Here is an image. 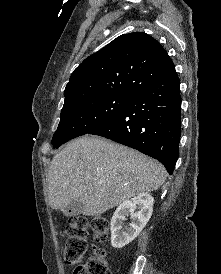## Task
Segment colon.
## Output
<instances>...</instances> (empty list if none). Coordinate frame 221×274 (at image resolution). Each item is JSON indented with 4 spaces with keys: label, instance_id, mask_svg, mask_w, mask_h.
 Returning <instances> with one entry per match:
<instances>
[{
    "label": "colon",
    "instance_id": "colon-1",
    "mask_svg": "<svg viewBox=\"0 0 221 274\" xmlns=\"http://www.w3.org/2000/svg\"><path fill=\"white\" fill-rule=\"evenodd\" d=\"M91 226L96 241H104L109 234V222L105 217L98 216L89 223L85 216H74L69 219L66 233L64 257L69 264H79L87 250L88 226ZM73 274H111L106 254L103 250L95 248L84 264H79Z\"/></svg>",
    "mask_w": 221,
    "mask_h": 274
}]
</instances>
